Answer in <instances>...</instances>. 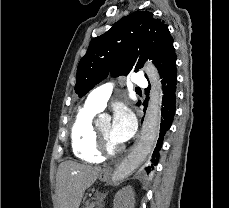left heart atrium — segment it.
Here are the masks:
<instances>
[{"label":"left heart atrium","instance_id":"obj_1","mask_svg":"<svg viewBox=\"0 0 229 208\" xmlns=\"http://www.w3.org/2000/svg\"><path fill=\"white\" fill-rule=\"evenodd\" d=\"M136 131V118L131 109L120 105L114 113L111 134L118 143L128 141Z\"/></svg>","mask_w":229,"mask_h":208}]
</instances>
